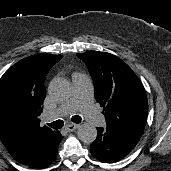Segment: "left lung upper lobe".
<instances>
[{"instance_id": "obj_1", "label": "left lung upper lobe", "mask_w": 171, "mask_h": 171, "mask_svg": "<svg viewBox=\"0 0 171 171\" xmlns=\"http://www.w3.org/2000/svg\"><path fill=\"white\" fill-rule=\"evenodd\" d=\"M77 56L93 78L95 98L104 107L106 129L138 143L148 114L147 95L139 78L127 64L110 53L89 51Z\"/></svg>"}]
</instances>
